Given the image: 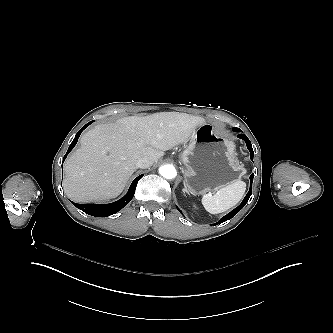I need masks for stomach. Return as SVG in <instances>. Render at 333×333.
<instances>
[{
    "label": "stomach",
    "mask_w": 333,
    "mask_h": 333,
    "mask_svg": "<svg viewBox=\"0 0 333 333\" xmlns=\"http://www.w3.org/2000/svg\"><path fill=\"white\" fill-rule=\"evenodd\" d=\"M178 157L186 188L194 195L215 192L246 174L235 144L216 135L209 124L195 132Z\"/></svg>",
    "instance_id": "1"
}]
</instances>
